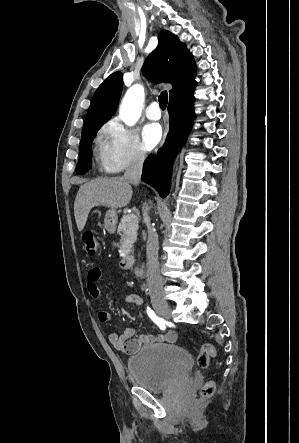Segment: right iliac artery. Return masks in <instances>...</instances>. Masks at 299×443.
Returning <instances> with one entry per match:
<instances>
[{"label":"right iliac artery","instance_id":"obj_1","mask_svg":"<svg viewBox=\"0 0 299 443\" xmlns=\"http://www.w3.org/2000/svg\"><path fill=\"white\" fill-rule=\"evenodd\" d=\"M147 314L152 319V321L159 326V328L161 330H165V328H166V321L163 318L157 316L154 313V311L151 310V308H149V307H147Z\"/></svg>","mask_w":299,"mask_h":443}]
</instances>
